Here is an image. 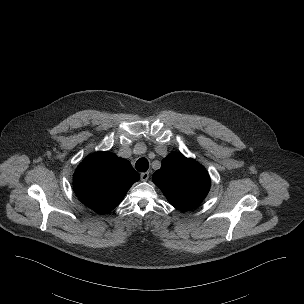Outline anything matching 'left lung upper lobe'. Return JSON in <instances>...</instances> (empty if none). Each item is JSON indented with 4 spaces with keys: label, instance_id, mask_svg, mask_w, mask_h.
I'll return each mask as SVG.
<instances>
[{
    "label": "left lung upper lobe",
    "instance_id": "5c2ea615",
    "mask_svg": "<svg viewBox=\"0 0 304 304\" xmlns=\"http://www.w3.org/2000/svg\"><path fill=\"white\" fill-rule=\"evenodd\" d=\"M153 182L172 206L189 210L199 205L210 189V177L197 161L179 153H171L153 174Z\"/></svg>",
    "mask_w": 304,
    "mask_h": 304
}]
</instances>
